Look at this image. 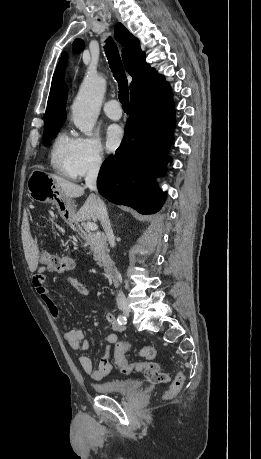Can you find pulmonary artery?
Instances as JSON below:
<instances>
[{
    "label": "pulmonary artery",
    "mask_w": 261,
    "mask_h": 459,
    "mask_svg": "<svg viewBox=\"0 0 261 459\" xmlns=\"http://www.w3.org/2000/svg\"><path fill=\"white\" fill-rule=\"evenodd\" d=\"M103 110L112 120H119L122 117V109L120 103L116 99L107 101L103 106Z\"/></svg>",
    "instance_id": "obj_1"
}]
</instances>
